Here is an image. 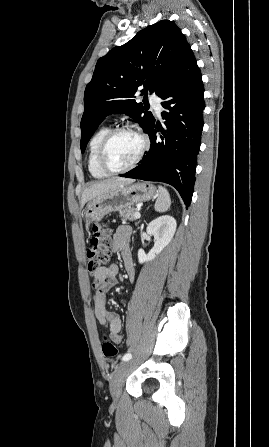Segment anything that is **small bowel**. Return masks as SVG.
Returning a JSON list of instances; mask_svg holds the SVG:
<instances>
[{"mask_svg": "<svg viewBox=\"0 0 269 447\" xmlns=\"http://www.w3.org/2000/svg\"><path fill=\"white\" fill-rule=\"evenodd\" d=\"M130 233L131 231L128 227H119L114 235V246L115 249H121L126 272L130 280L133 281L135 271L128 245ZM117 273L118 267L116 264L106 265L94 273L92 278V301L96 319L101 325L109 329L112 341L120 344L123 341V335L121 334L122 318L119 314L107 308V295L117 283ZM119 302L123 305L127 303L122 298Z\"/></svg>", "mask_w": 269, "mask_h": 447, "instance_id": "small-bowel-1", "label": "small bowel"}]
</instances>
